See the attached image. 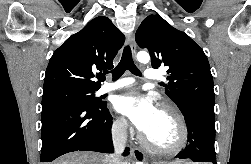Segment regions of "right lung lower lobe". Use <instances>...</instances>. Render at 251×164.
<instances>
[{"label": "right lung lower lobe", "instance_id": "1", "mask_svg": "<svg viewBox=\"0 0 251 164\" xmlns=\"http://www.w3.org/2000/svg\"><path fill=\"white\" fill-rule=\"evenodd\" d=\"M107 103L87 106L54 103L42 108L41 162H52L73 151L112 153V117ZM129 154L125 149L124 156Z\"/></svg>", "mask_w": 251, "mask_h": 164}]
</instances>
